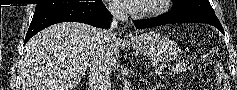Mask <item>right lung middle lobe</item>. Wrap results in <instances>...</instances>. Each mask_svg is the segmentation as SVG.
<instances>
[{
    "label": "right lung middle lobe",
    "instance_id": "right-lung-middle-lobe-1",
    "mask_svg": "<svg viewBox=\"0 0 237 90\" xmlns=\"http://www.w3.org/2000/svg\"><path fill=\"white\" fill-rule=\"evenodd\" d=\"M69 4H81V3L37 4L35 12H40V11L48 10V9L59 7V6L69 5Z\"/></svg>",
    "mask_w": 237,
    "mask_h": 90
}]
</instances>
